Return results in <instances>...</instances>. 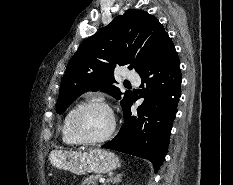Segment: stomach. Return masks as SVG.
I'll return each instance as SVG.
<instances>
[{
	"mask_svg": "<svg viewBox=\"0 0 233 185\" xmlns=\"http://www.w3.org/2000/svg\"><path fill=\"white\" fill-rule=\"evenodd\" d=\"M49 161L54 167L77 175L87 172L106 173L119 166L118 157L103 149L88 152L54 150L49 155Z\"/></svg>",
	"mask_w": 233,
	"mask_h": 185,
	"instance_id": "0dacf381",
	"label": "stomach"
}]
</instances>
